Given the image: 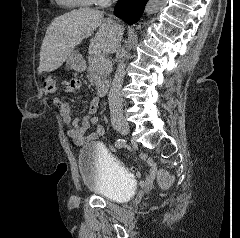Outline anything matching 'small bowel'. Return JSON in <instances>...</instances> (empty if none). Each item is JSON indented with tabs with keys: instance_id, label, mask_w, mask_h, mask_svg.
I'll return each instance as SVG.
<instances>
[{
	"instance_id": "small-bowel-1",
	"label": "small bowel",
	"mask_w": 240,
	"mask_h": 238,
	"mask_svg": "<svg viewBox=\"0 0 240 238\" xmlns=\"http://www.w3.org/2000/svg\"><path fill=\"white\" fill-rule=\"evenodd\" d=\"M81 87L82 85L78 80L71 79L65 86V91L68 93H75L79 91ZM54 103L57 106L64 123L68 126L67 135L73 139L75 146H81L84 143L96 141L100 137L104 136V128L100 124L99 119L94 115L100 104V99L98 97L92 100L89 107V112L86 116L75 119H72L71 117V109L68 102L56 98L54 99ZM90 128H94V132L86 135V131ZM101 142L105 143L106 139L102 138ZM107 150L111 151L112 154L121 153V150L117 149L116 146H108ZM127 150L131 151L132 147L128 145ZM141 158L147 163L149 169L147 176L142 175V170H138L137 167H132L131 171L135 172L136 175H142L141 179L137 180V183L140 184V187H153L152 181L154 180L156 174V164L145 154H142Z\"/></svg>"
}]
</instances>
